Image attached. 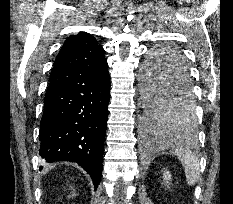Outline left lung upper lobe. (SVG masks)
Listing matches in <instances>:
<instances>
[{
	"instance_id": "left-lung-upper-lobe-1",
	"label": "left lung upper lobe",
	"mask_w": 233,
	"mask_h": 204,
	"mask_svg": "<svg viewBox=\"0 0 233 204\" xmlns=\"http://www.w3.org/2000/svg\"><path fill=\"white\" fill-rule=\"evenodd\" d=\"M181 62L185 60L173 46L156 48L146 60L143 69L145 122L170 131L192 132L197 121L192 87L176 92H170L167 87Z\"/></svg>"
}]
</instances>
